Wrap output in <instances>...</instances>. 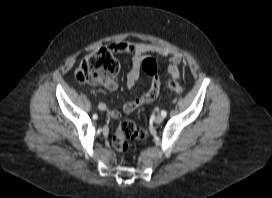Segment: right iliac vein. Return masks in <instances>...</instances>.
<instances>
[{"instance_id":"obj_1","label":"right iliac vein","mask_w":272,"mask_h":198,"mask_svg":"<svg viewBox=\"0 0 272 198\" xmlns=\"http://www.w3.org/2000/svg\"><path fill=\"white\" fill-rule=\"evenodd\" d=\"M99 109L102 110V111H104V110H106V106L102 105V106L99 107Z\"/></svg>"}]
</instances>
